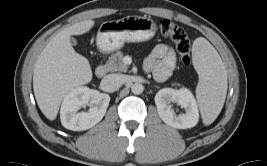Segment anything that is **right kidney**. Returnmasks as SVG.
<instances>
[{"label":"right kidney","mask_w":267,"mask_h":166,"mask_svg":"<svg viewBox=\"0 0 267 166\" xmlns=\"http://www.w3.org/2000/svg\"><path fill=\"white\" fill-rule=\"evenodd\" d=\"M110 102V96L88 87H77L69 92L61 106L62 125L69 130H87L104 117ZM90 103L88 112L77 111Z\"/></svg>","instance_id":"obj_1"}]
</instances>
